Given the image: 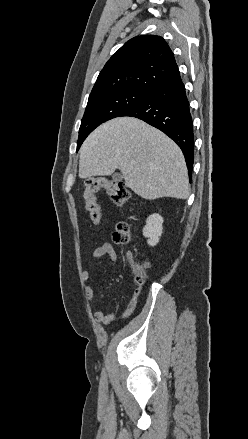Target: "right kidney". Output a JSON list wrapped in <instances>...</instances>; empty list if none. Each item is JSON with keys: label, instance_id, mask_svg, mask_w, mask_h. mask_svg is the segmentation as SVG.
<instances>
[{"label": "right kidney", "instance_id": "1", "mask_svg": "<svg viewBox=\"0 0 248 439\" xmlns=\"http://www.w3.org/2000/svg\"><path fill=\"white\" fill-rule=\"evenodd\" d=\"M162 224L163 218L159 214H152L147 218L146 225L143 228V236L148 238V245H157L163 230Z\"/></svg>", "mask_w": 248, "mask_h": 439}]
</instances>
